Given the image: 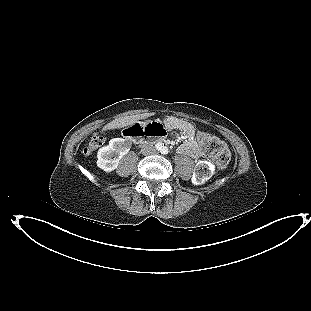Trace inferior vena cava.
<instances>
[{"label": "inferior vena cava", "instance_id": "1", "mask_svg": "<svg viewBox=\"0 0 311 311\" xmlns=\"http://www.w3.org/2000/svg\"><path fill=\"white\" fill-rule=\"evenodd\" d=\"M142 151H143V153H147V154L153 152L154 147H153L152 143L145 142L142 145Z\"/></svg>", "mask_w": 311, "mask_h": 311}]
</instances>
